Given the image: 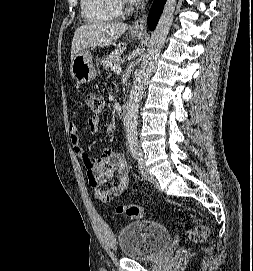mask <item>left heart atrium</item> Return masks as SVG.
<instances>
[{"instance_id": "39dd6f15", "label": "left heart atrium", "mask_w": 253, "mask_h": 271, "mask_svg": "<svg viewBox=\"0 0 253 271\" xmlns=\"http://www.w3.org/2000/svg\"><path fill=\"white\" fill-rule=\"evenodd\" d=\"M134 3H141L142 1H144V0H132Z\"/></svg>"}]
</instances>
